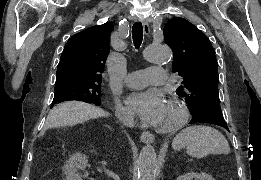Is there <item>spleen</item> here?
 <instances>
[{"mask_svg":"<svg viewBox=\"0 0 261 180\" xmlns=\"http://www.w3.org/2000/svg\"><path fill=\"white\" fill-rule=\"evenodd\" d=\"M181 148L191 158H206L209 154H230V146L223 134L209 126H190L177 136Z\"/></svg>","mask_w":261,"mask_h":180,"instance_id":"obj_1","label":"spleen"}]
</instances>
